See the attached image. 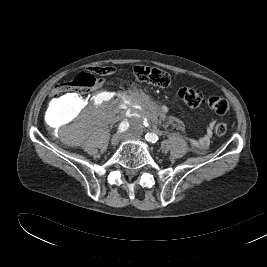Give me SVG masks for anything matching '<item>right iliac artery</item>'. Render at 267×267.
<instances>
[{
	"label": "right iliac artery",
	"mask_w": 267,
	"mask_h": 267,
	"mask_svg": "<svg viewBox=\"0 0 267 267\" xmlns=\"http://www.w3.org/2000/svg\"><path fill=\"white\" fill-rule=\"evenodd\" d=\"M128 127H129V123L127 121L121 122L118 128V132L123 133L128 129Z\"/></svg>",
	"instance_id": "82829eb1"
}]
</instances>
